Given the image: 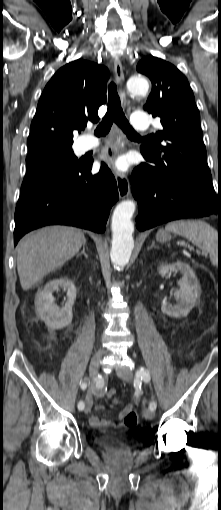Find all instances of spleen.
<instances>
[{
    "instance_id": "3e777b00",
    "label": "spleen",
    "mask_w": 221,
    "mask_h": 510,
    "mask_svg": "<svg viewBox=\"0 0 221 510\" xmlns=\"http://www.w3.org/2000/svg\"><path fill=\"white\" fill-rule=\"evenodd\" d=\"M167 232H174L191 241L200 249L209 253L212 262L218 260V233L202 220H176L165 226Z\"/></svg>"
}]
</instances>
